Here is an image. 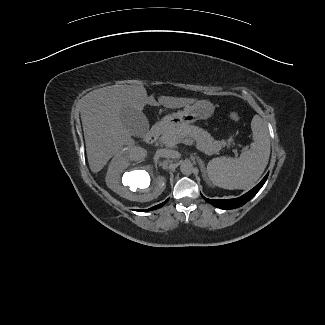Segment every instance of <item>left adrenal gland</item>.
Wrapping results in <instances>:
<instances>
[{"label":"left adrenal gland","mask_w":325,"mask_h":325,"mask_svg":"<svg viewBox=\"0 0 325 325\" xmlns=\"http://www.w3.org/2000/svg\"><path fill=\"white\" fill-rule=\"evenodd\" d=\"M196 159H197V162H198V164L200 166V170L202 172V176H203L204 180L209 184V181H208L207 176H206L204 161L199 156H197Z\"/></svg>","instance_id":"1"}]
</instances>
